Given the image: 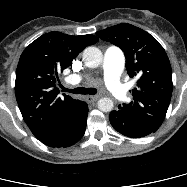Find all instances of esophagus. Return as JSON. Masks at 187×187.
Here are the masks:
<instances>
[{
	"label": "esophagus",
	"mask_w": 187,
	"mask_h": 187,
	"mask_svg": "<svg viewBox=\"0 0 187 187\" xmlns=\"http://www.w3.org/2000/svg\"><path fill=\"white\" fill-rule=\"evenodd\" d=\"M99 98H100V96H87L86 101L88 103H93V102L97 101Z\"/></svg>",
	"instance_id": "34e87169"
}]
</instances>
